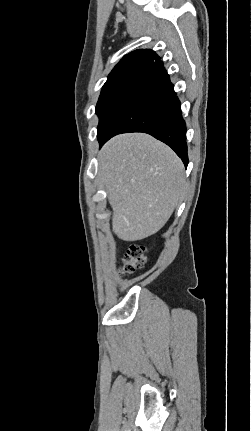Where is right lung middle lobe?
Masks as SVG:
<instances>
[{"mask_svg": "<svg viewBox=\"0 0 251 431\" xmlns=\"http://www.w3.org/2000/svg\"><path fill=\"white\" fill-rule=\"evenodd\" d=\"M146 69L147 67L144 65H130L119 69L108 77L96 105V114L99 117L97 136L102 135L106 130Z\"/></svg>", "mask_w": 251, "mask_h": 431, "instance_id": "right-lung-middle-lobe-1", "label": "right lung middle lobe"}]
</instances>
